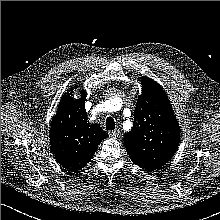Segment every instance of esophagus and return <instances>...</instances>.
I'll return each mask as SVG.
<instances>
[{"instance_id":"esophagus-1","label":"esophagus","mask_w":220,"mask_h":220,"mask_svg":"<svg viewBox=\"0 0 220 220\" xmlns=\"http://www.w3.org/2000/svg\"><path fill=\"white\" fill-rule=\"evenodd\" d=\"M120 134V131L119 129H115L113 131H109V135L112 137V138H117Z\"/></svg>"}]
</instances>
